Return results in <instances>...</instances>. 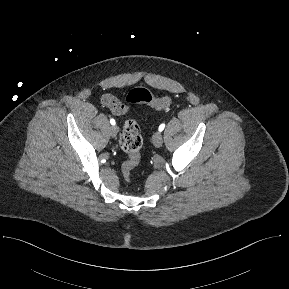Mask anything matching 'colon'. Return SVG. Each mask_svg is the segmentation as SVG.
Returning <instances> with one entry per match:
<instances>
[{
  "label": "colon",
  "mask_w": 289,
  "mask_h": 289,
  "mask_svg": "<svg viewBox=\"0 0 289 289\" xmlns=\"http://www.w3.org/2000/svg\"><path fill=\"white\" fill-rule=\"evenodd\" d=\"M129 103H143L156 109H163L169 106L170 99L168 97H158L153 95L145 88L133 89L127 96ZM121 147L128 153L129 158L122 166L123 177L128 181L131 171L138 165L140 161V149L142 147V138L140 135L139 124L136 119L128 118L123 126L121 138Z\"/></svg>",
  "instance_id": "obj_1"
}]
</instances>
